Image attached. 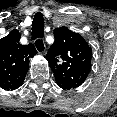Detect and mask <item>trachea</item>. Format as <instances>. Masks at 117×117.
Instances as JSON below:
<instances>
[{"mask_svg":"<svg viewBox=\"0 0 117 117\" xmlns=\"http://www.w3.org/2000/svg\"><path fill=\"white\" fill-rule=\"evenodd\" d=\"M44 36V20L43 18H36L32 24V40L42 38Z\"/></svg>","mask_w":117,"mask_h":117,"instance_id":"trachea-1","label":"trachea"}]
</instances>
